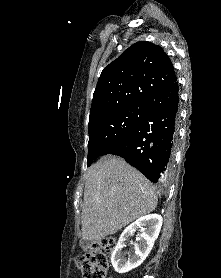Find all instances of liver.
<instances>
[{
    "instance_id": "obj_1",
    "label": "liver",
    "mask_w": 221,
    "mask_h": 278,
    "mask_svg": "<svg viewBox=\"0 0 221 278\" xmlns=\"http://www.w3.org/2000/svg\"><path fill=\"white\" fill-rule=\"evenodd\" d=\"M155 187L124 159L105 156L87 171L82 205V238L113 235L157 206Z\"/></svg>"
}]
</instances>
